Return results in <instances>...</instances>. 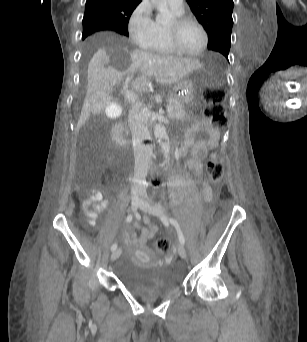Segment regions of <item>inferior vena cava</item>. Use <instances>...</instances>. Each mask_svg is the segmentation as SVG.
I'll use <instances>...</instances> for the list:
<instances>
[{"label": "inferior vena cava", "instance_id": "1", "mask_svg": "<svg viewBox=\"0 0 307 342\" xmlns=\"http://www.w3.org/2000/svg\"><path fill=\"white\" fill-rule=\"evenodd\" d=\"M128 122L132 132V142L134 150V178L131 188L132 194H140L146 192V176L149 172L152 156V148L144 146L143 140L148 136L147 128H145L143 114L139 110V106H133L129 112Z\"/></svg>", "mask_w": 307, "mask_h": 342}]
</instances>
